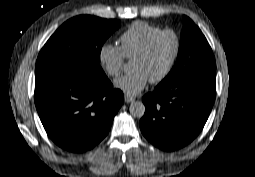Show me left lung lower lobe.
<instances>
[{"label":"left lung lower lobe","instance_id":"1","mask_svg":"<svg viewBox=\"0 0 255 177\" xmlns=\"http://www.w3.org/2000/svg\"><path fill=\"white\" fill-rule=\"evenodd\" d=\"M215 71H202L143 97V135L156 147L172 151L190 143L205 125L215 99Z\"/></svg>","mask_w":255,"mask_h":177}]
</instances>
